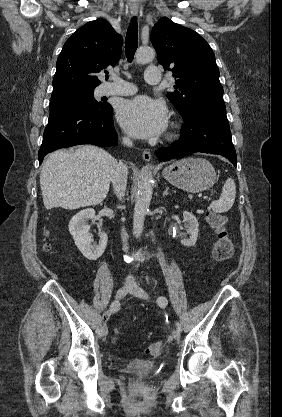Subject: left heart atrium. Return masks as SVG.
<instances>
[{"instance_id":"39dd6f15","label":"left heart atrium","mask_w":282,"mask_h":417,"mask_svg":"<svg viewBox=\"0 0 282 417\" xmlns=\"http://www.w3.org/2000/svg\"><path fill=\"white\" fill-rule=\"evenodd\" d=\"M122 126L136 136H151L166 127L167 115L163 103L140 96L122 103L118 109Z\"/></svg>"}]
</instances>
